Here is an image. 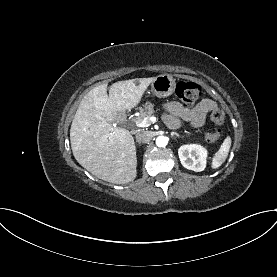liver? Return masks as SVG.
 Returning <instances> with one entry per match:
<instances>
[{"label": "liver", "instance_id": "1", "mask_svg": "<svg viewBox=\"0 0 277 277\" xmlns=\"http://www.w3.org/2000/svg\"><path fill=\"white\" fill-rule=\"evenodd\" d=\"M155 78L118 81L109 95L104 83L81 100L70 128L71 149L77 162L94 176L113 184H127L136 178L134 139L127 129L110 122L118 112L137 106Z\"/></svg>", "mask_w": 277, "mask_h": 277}]
</instances>
